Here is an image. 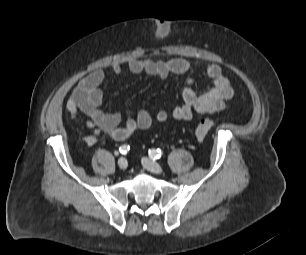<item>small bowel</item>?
Returning <instances> with one entry per match:
<instances>
[{
	"label": "small bowel",
	"instance_id": "1",
	"mask_svg": "<svg viewBox=\"0 0 306 255\" xmlns=\"http://www.w3.org/2000/svg\"><path fill=\"white\" fill-rule=\"evenodd\" d=\"M112 69L116 74L123 71L121 64H115ZM190 69V63L183 58L134 59L128 62L126 71L131 74L145 73L165 80L170 75L187 74ZM205 74L212 80V86L198 93L194 88L193 79L188 78L182 92V103L172 109L171 115L174 119L187 121L192 119L194 112L201 114L219 112L233 97L231 82L218 64L209 65ZM104 79L103 69L94 70L78 82L67 101L70 117L83 122L91 130V133L84 138L86 145H94L102 134H107L116 141H123L137 130H147L154 122L164 123L168 119L169 114L165 110H160L153 116L149 111L141 109L128 117L121 126L120 113L105 112L102 109L103 93L100 86Z\"/></svg>",
	"mask_w": 306,
	"mask_h": 255
}]
</instances>
